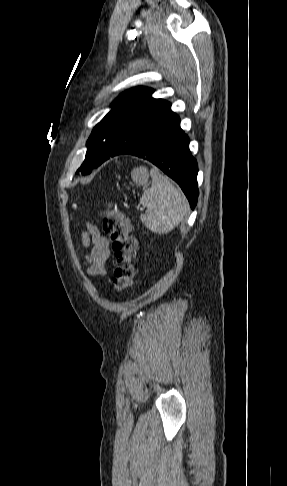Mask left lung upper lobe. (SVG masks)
<instances>
[{"label":"left lung upper lobe","instance_id":"1","mask_svg":"<svg viewBox=\"0 0 287 486\" xmlns=\"http://www.w3.org/2000/svg\"><path fill=\"white\" fill-rule=\"evenodd\" d=\"M152 93L151 88L136 87L115 99L111 111L93 129L77 174H89L110 157L138 148L173 114L171 104L152 98Z\"/></svg>","mask_w":287,"mask_h":486}]
</instances>
